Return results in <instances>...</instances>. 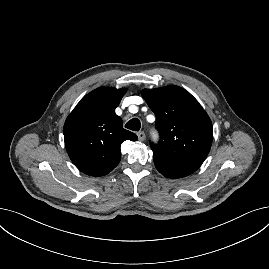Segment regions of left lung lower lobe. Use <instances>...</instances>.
Returning <instances> with one entry per match:
<instances>
[{"label":"left lung lower lobe","instance_id":"left-lung-lower-lobe-1","mask_svg":"<svg viewBox=\"0 0 269 269\" xmlns=\"http://www.w3.org/2000/svg\"><path fill=\"white\" fill-rule=\"evenodd\" d=\"M157 170L168 178H181L195 172L202 163L195 161L166 160L154 155Z\"/></svg>","mask_w":269,"mask_h":269}]
</instances>
